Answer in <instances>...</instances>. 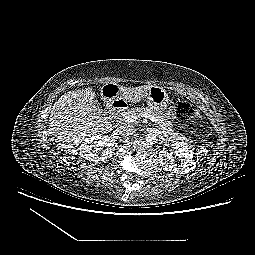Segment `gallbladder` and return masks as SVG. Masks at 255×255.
<instances>
[{
  "label": "gallbladder",
  "instance_id": "obj_1",
  "mask_svg": "<svg viewBox=\"0 0 255 255\" xmlns=\"http://www.w3.org/2000/svg\"><path fill=\"white\" fill-rule=\"evenodd\" d=\"M93 107L97 110V111H101L99 106L93 105Z\"/></svg>",
  "mask_w": 255,
  "mask_h": 255
}]
</instances>
